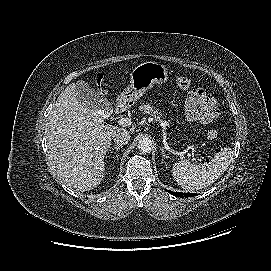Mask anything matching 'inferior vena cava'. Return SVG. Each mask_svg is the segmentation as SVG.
Returning <instances> with one entry per match:
<instances>
[{"label": "inferior vena cava", "mask_w": 271, "mask_h": 271, "mask_svg": "<svg viewBox=\"0 0 271 271\" xmlns=\"http://www.w3.org/2000/svg\"><path fill=\"white\" fill-rule=\"evenodd\" d=\"M112 139L117 145L122 146L129 142L130 133L126 129L119 128L114 132Z\"/></svg>", "instance_id": "1"}]
</instances>
